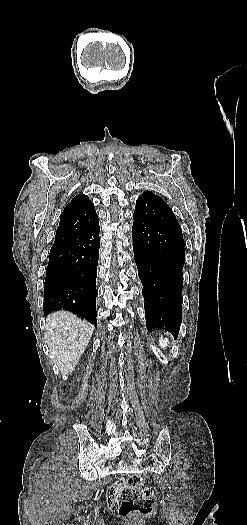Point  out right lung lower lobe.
<instances>
[{"mask_svg":"<svg viewBox=\"0 0 247 525\" xmlns=\"http://www.w3.org/2000/svg\"><path fill=\"white\" fill-rule=\"evenodd\" d=\"M99 224L67 244L51 249L44 283V315L68 310L97 325L96 277Z\"/></svg>","mask_w":247,"mask_h":525,"instance_id":"obj_1","label":"right lung lower lobe"}]
</instances>
